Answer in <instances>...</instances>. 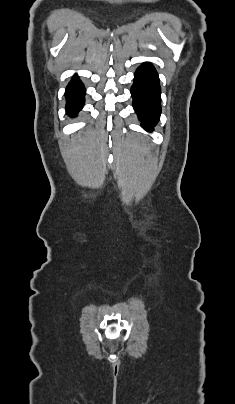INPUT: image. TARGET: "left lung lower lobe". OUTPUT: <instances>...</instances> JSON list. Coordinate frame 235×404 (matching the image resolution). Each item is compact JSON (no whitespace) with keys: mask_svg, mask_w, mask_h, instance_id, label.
Instances as JSON below:
<instances>
[{"mask_svg":"<svg viewBox=\"0 0 235 404\" xmlns=\"http://www.w3.org/2000/svg\"><path fill=\"white\" fill-rule=\"evenodd\" d=\"M131 94L142 127L152 130L160 118L161 89L158 74L151 64L144 63L137 69Z\"/></svg>","mask_w":235,"mask_h":404,"instance_id":"0a47b994","label":"left lung lower lobe"}]
</instances>
